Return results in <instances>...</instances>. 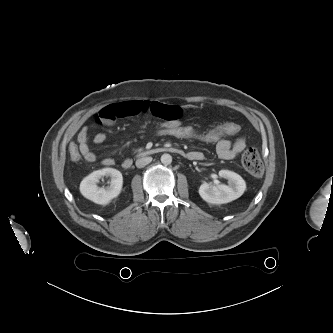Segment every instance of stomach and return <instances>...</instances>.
Listing matches in <instances>:
<instances>
[{
    "label": "stomach",
    "mask_w": 333,
    "mask_h": 333,
    "mask_svg": "<svg viewBox=\"0 0 333 333\" xmlns=\"http://www.w3.org/2000/svg\"><path fill=\"white\" fill-rule=\"evenodd\" d=\"M216 112V108L213 105H208V106H197L194 105L191 107H180L177 110L178 115L180 116H198L200 114L202 115H213Z\"/></svg>",
    "instance_id": "0dacf381"
}]
</instances>
